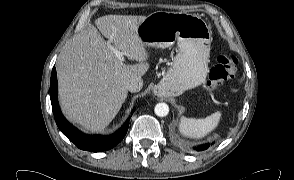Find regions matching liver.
<instances>
[{"instance_id": "6515ba94", "label": "liver", "mask_w": 294, "mask_h": 180, "mask_svg": "<svg viewBox=\"0 0 294 180\" xmlns=\"http://www.w3.org/2000/svg\"><path fill=\"white\" fill-rule=\"evenodd\" d=\"M146 16L106 15L95 24L129 60L126 65L109 49L93 25L69 40L56 63L59 100L66 117L86 132H101L118 114L128 95L127 82L149 69L146 45L137 36Z\"/></svg>"}]
</instances>
